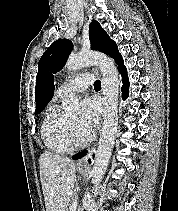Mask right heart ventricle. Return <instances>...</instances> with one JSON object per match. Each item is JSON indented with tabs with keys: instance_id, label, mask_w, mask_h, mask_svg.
I'll list each match as a JSON object with an SVG mask.
<instances>
[{
	"instance_id": "right-heart-ventricle-1",
	"label": "right heart ventricle",
	"mask_w": 178,
	"mask_h": 211,
	"mask_svg": "<svg viewBox=\"0 0 178 211\" xmlns=\"http://www.w3.org/2000/svg\"><path fill=\"white\" fill-rule=\"evenodd\" d=\"M66 120L55 103L46 111L41 125V137L49 151L67 153L73 150L66 141Z\"/></svg>"
}]
</instances>
